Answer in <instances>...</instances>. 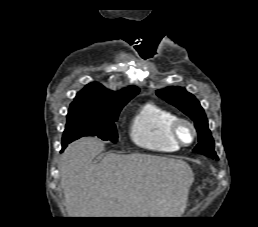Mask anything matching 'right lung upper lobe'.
Returning a JSON list of instances; mask_svg holds the SVG:
<instances>
[{"instance_id": "cb5924a9", "label": "right lung upper lobe", "mask_w": 258, "mask_h": 227, "mask_svg": "<svg viewBox=\"0 0 258 227\" xmlns=\"http://www.w3.org/2000/svg\"><path fill=\"white\" fill-rule=\"evenodd\" d=\"M138 91L137 87L131 86L114 93L99 83H90L76 95L71 105L94 108L117 107L130 101Z\"/></svg>"}]
</instances>
